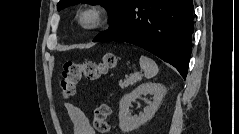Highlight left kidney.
<instances>
[{
	"mask_svg": "<svg viewBox=\"0 0 239 134\" xmlns=\"http://www.w3.org/2000/svg\"><path fill=\"white\" fill-rule=\"evenodd\" d=\"M152 95L153 101L148 102L139 115L132 116L129 108L131 103L142 95ZM166 88L158 83H144L135 88L131 93L124 95L119 103V127L122 132H131L150 120L157 111L164 95Z\"/></svg>",
	"mask_w": 239,
	"mask_h": 134,
	"instance_id": "1",
	"label": "left kidney"
}]
</instances>
